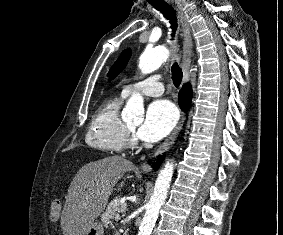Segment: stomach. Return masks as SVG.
Returning a JSON list of instances; mask_svg holds the SVG:
<instances>
[{
    "instance_id": "stomach-1",
    "label": "stomach",
    "mask_w": 283,
    "mask_h": 235,
    "mask_svg": "<svg viewBox=\"0 0 283 235\" xmlns=\"http://www.w3.org/2000/svg\"><path fill=\"white\" fill-rule=\"evenodd\" d=\"M85 235H104L103 225L99 221L93 222Z\"/></svg>"
}]
</instances>
